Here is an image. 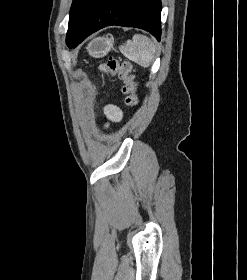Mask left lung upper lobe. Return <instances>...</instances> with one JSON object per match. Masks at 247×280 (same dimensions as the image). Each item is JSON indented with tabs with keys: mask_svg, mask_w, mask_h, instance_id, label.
I'll return each instance as SVG.
<instances>
[{
	"mask_svg": "<svg viewBox=\"0 0 247 280\" xmlns=\"http://www.w3.org/2000/svg\"><path fill=\"white\" fill-rule=\"evenodd\" d=\"M100 1L101 0H73L70 10L67 36H73L79 31L80 27L84 23L91 10Z\"/></svg>",
	"mask_w": 247,
	"mask_h": 280,
	"instance_id": "1",
	"label": "left lung upper lobe"
}]
</instances>
